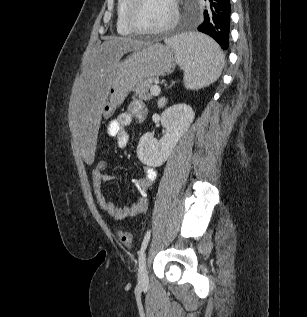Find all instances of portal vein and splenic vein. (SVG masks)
Returning <instances> with one entry per match:
<instances>
[{
  "label": "portal vein and splenic vein",
  "mask_w": 307,
  "mask_h": 317,
  "mask_svg": "<svg viewBox=\"0 0 307 317\" xmlns=\"http://www.w3.org/2000/svg\"><path fill=\"white\" fill-rule=\"evenodd\" d=\"M161 92V88L159 85H154L150 88V93L153 95V96H158Z\"/></svg>",
  "instance_id": "portal-vein-and-splenic-vein-1"
}]
</instances>
